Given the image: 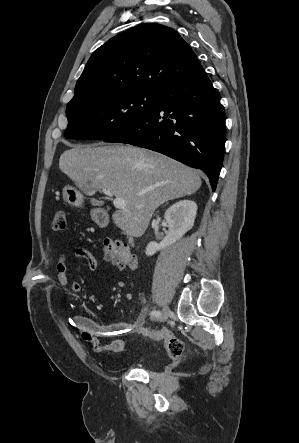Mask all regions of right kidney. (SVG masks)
<instances>
[{"instance_id":"ca27d5eb","label":"right kidney","mask_w":299,"mask_h":443,"mask_svg":"<svg viewBox=\"0 0 299 443\" xmlns=\"http://www.w3.org/2000/svg\"><path fill=\"white\" fill-rule=\"evenodd\" d=\"M196 213L197 204L191 200H181L170 206L164 216L169 232L160 243L150 242L146 247V255L151 256L179 240L193 227Z\"/></svg>"}]
</instances>
